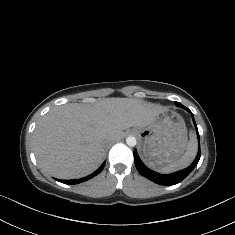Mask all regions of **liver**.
<instances>
[{
	"mask_svg": "<svg viewBox=\"0 0 235 235\" xmlns=\"http://www.w3.org/2000/svg\"><path fill=\"white\" fill-rule=\"evenodd\" d=\"M164 109L128 98L102 99L92 107L76 103L55 107L33 133L38 165L58 179L87 176L102 163L107 141L120 138L130 127L148 126Z\"/></svg>",
	"mask_w": 235,
	"mask_h": 235,
	"instance_id": "liver-1",
	"label": "liver"
}]
</instances>
